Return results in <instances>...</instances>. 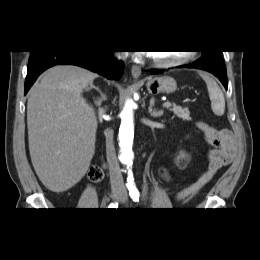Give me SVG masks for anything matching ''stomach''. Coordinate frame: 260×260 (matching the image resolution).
<instances>
[{
  "instance_id": "1",
  "label": "stomach",
  "mask_w": 260,
  "mask_h": 260,
  "mask_svg": "<svg viewBox=\"0 0 260 260\" xmlns=\"http://www.w3.org/2000/svg\"><path fill=\"white\" fill-rule=\"evenodd\" d=\"M146 87L149 93L158 94L166 93L170 94L176 91L177 83L175 79L169 76L149 78L146 83Z\"/></svg>"
}]
</instances>
